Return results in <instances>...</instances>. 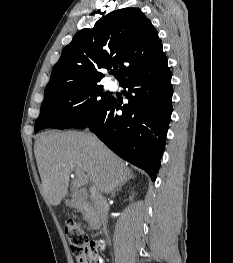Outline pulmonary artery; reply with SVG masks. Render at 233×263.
Wrapping results in <instances>:
<instances>
[{
  "label": "pulmonary artery",
  "mask_w": 233,
  "mask_h": 263,
  "mask_svg": "<svg viewBox=\"0 0 233 263\" xmlns=\"http://www.w3.org/2000/svg\"><path fill=\"white\" fill-rule=\"evenodd\" d=\"M114 83L112 82V81H109V82H107V87L108 88H114Z\"/></svg>",
  "instance_id": "pulmonary-artery-1"
}]
</instances>
